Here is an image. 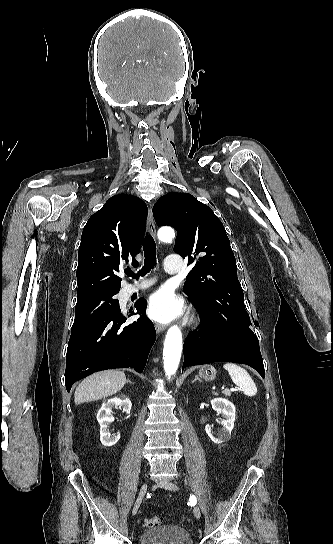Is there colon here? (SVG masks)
<instances>
[{
  "mask_svg": "<svg viewBox=\"0 0 333 544\" xmlns=\"http://www.w3.org/2000/svg\"><path fill=\"white\" fill-rule=\"evenodd\" d=\"M161 522H162V518L155 516V517L147 518L144 524L147 528H154L160 525Z\"/></svg>",
  "mask_w": 333,
  "mask_h": 544,
  "instance_id": "5ec220e1",
  "label": "colon"
}]
</instances>
